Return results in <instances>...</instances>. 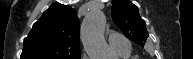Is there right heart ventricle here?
I'll return each mask as SVG.
<instances>
[{
  "mask_svg": "<svg viewBox=\"0 0 193 59\" xmlns=\"http://www.w3.org/2000/svg\"><path fill=\"white\" fill-rule=\"evenodd\" d=\"M118 56L122 59H128L130 57V53L131 51H127V52H118L116 51Z\"/></svg>",
  "mask_w": 193,
  "mask_h": 59,
  "instance_id": "e07e8e85",
  "label": "right heart ventricle"
}]
</instances>
